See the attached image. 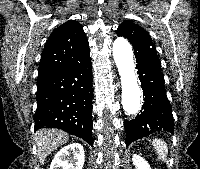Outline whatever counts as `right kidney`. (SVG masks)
<instances>
[{
	"label": "right kidney",
	"instance_id": "right-kidney-1",
	"mask_svg": "<svg viewBox=\"0 0 200 169\" xmlns=\"http://www.w3.org/2000/svg\"><path fill=\"white\" fill-rule=\"evenodd\" d=\"M84 161L83 146L80 143H71L57 152L49 169H82Z\"/></svg>",
	"mask_w": 200,
	"mask_h": 169
}]
</instances>
